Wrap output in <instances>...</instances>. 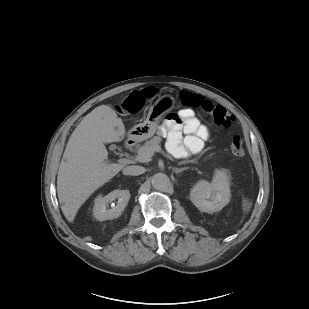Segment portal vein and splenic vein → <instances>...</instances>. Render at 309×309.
<instances>
[{
    "mask_svg": "<svg viewBox=\"0 0 309 309\" xmlns=\"http://www.w3.org/2000/svg\"><path fill=\"white\" fill-rule=\"evenodd\" d=\"M157 151V152H160L161 151V148L160 147H157L156 149L154 150H148V151H144V152H141L139 153L137 156H136V159L140 162H148L150 161L151 157L153 156L154 152ZM192 162V161H191Z\"/></svg>",
    "mask_w": 309,
    "mask_h": 309,
    "instance_id": "1",
    "label": "portal vein and splenic vein"
}]
</instances>
